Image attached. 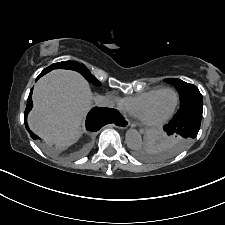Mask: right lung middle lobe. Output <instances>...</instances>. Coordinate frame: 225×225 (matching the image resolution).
<instances>
[{
	"instance_id": "obj_1",
	"label": "right lung middle lobe",
	"mask_w": 225,
	"mask_h": 225,
	"mask_svg": "<svg viewBox=\"0 0 225 225\" xmlns=\"http://www.w3.org/2000/svg\"><path fill=\"white\" fill-rule=\"evenodd\" d=\"M49 70L53 69H71L81 73L87 81L92 82L95 85H100V82L90 73V71L83 65L75 61H63L54 63L47 67Z\"/></svg>"
}]
</instances>
